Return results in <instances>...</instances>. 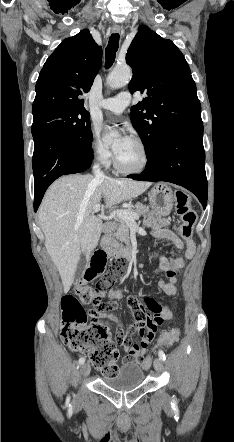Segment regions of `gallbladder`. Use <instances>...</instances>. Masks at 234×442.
I'll return each mask as SVG.
<instances>
[{
    "label": "gallbladder",
    "instance_id": "1",
    "mask_svg": "<svg viewBox=\"0 0 234 442\" xmlns=\"http://www.w3.org/2000/svg\"><path fill=\"white\" fill-rule=\"evenodd\" d=\"M86 267H87V257H86V255L83 254V255H81V257H80V259L78 261L77 268H76V271H75V279H76V281H80L81 280V278L83 276V273L86 270Z\"/></svg>",
    "mask_w": 234,
    "mask_h": 442
}]
</instances>
